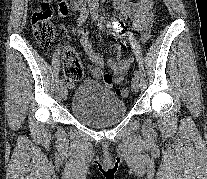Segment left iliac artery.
<instances>
[{
	"label": "left iliac artery",
	"instance_id": "obj_1",
	"mask_svg": "<svg viewBox=\"0 0 207 179\" xmlns=\"http://www.w3.org/2000/svg\"><path fill=\"white\" fill-rule=\"evenodd\" d=\"M99 6L97 4L93 5L91 8V16L94 20L98 19V12H99ZM135 77L139 78V71H134Z\"/></svg>",
	"mask_w": 207,
	"mask_h": 179
}]
</instances>
